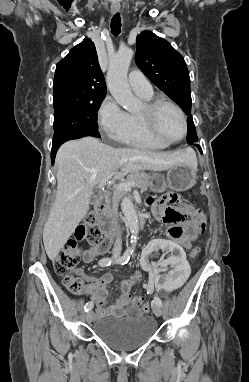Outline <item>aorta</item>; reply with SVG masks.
Returning a JSON list of instances; mask_svg holds the SVG:
<instances>
[{
  "label": "aorta",
  "instance_id": "aorta-1",
  "mask_svg": "<svg viewBox=\"0 0 249 382\" xmlns=\"http://www.w3.org/2000/svg\"><path fill=\"white\" fill-rule=\"evenodd\" d=\"M133 50L130 48H121L109 61L107 73L108 89L116 102L129 112L138 109V100L134 97L128 81L127 72L133 57ZM122 211L126 220V225L131 233V249H133L138 240L139 221L136 210L129 199L122 202Z\"/></svg>",
  "mask_w": 249,
  "mask_h": 382
}]
</instances>
